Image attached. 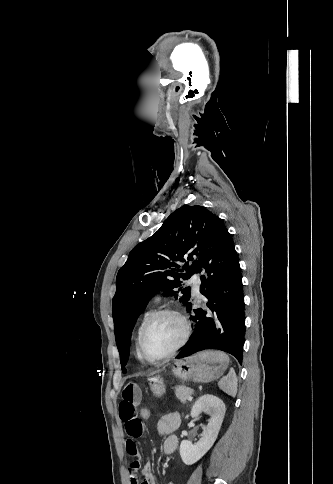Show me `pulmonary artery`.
Here are the masks:
<instances>
[{"label":"pulmonary artery","instance_id":"obj_1","mask_svg":"<svg viewBox=\"0 0 333 484\" xmlns=\"http://www.w3.org/2000/svg\"><path fill=\"white\" fill-rule=\"evenodd\" d=\"M190 283L192 284L194 293L196 295H198L199 294L200 283H201L200 277L198 275L192 276L191 279H190Z\"/></svg>","mask_w":333,"mask_h":484}]
</instances>
